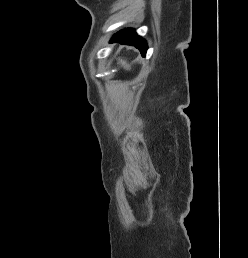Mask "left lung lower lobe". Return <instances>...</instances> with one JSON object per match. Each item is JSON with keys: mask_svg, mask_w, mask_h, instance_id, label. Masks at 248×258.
<instances>
[{"mask_svg": "<svg viewBox=\"0 0 248 258\" xmlns=\"http://www.w3.org/2000/svg\"><path fill=\"white\" fill-rule=\"evenodd\" d=\"M111 42H120L122 44L135 46L140 50L143 56H145L147 50V44L144 39L139 37L133 29H125L116 33Z\"/></svg>", "mask_w": 248, "mask_h": 258, "instance_id": "obj_1", "label": "left lung lower lobe"}]
</instances>
